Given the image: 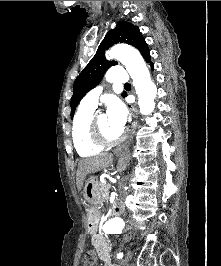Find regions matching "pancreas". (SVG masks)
<instances>
[{
  "label": "pancreas",
  "mask_w": 221,
  "mask_h": 266,
  "mask_svg": "<svg viewBox=\"0 0 221 266\" xmlns=\"http://www.w3.org/2000/svg\"><path fill=\"white\" fill-rule=\"evenodd\" d=\"M100 188H101V193H102L103 199L106 198V197H108V195H109V189H110V184L100 183Z\"/></svg>",
  "instance_id": "obj_1"
}]
</instances>
